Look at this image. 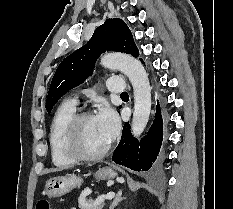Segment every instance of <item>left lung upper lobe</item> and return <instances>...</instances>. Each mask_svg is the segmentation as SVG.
Masks as SVG:
<instances>
[{"mask_svg":"<svg viewBox=\"0 0 233 209\" xmlns=\"http://www.w3.org/2000/svg\"><path fill=\"white\" fill-rule=\"evenodd\" d=\"M117 51L139 56L131 31L121 19H107L99 26L89 42L67 56L58 66L46 100V110L51 112L64 93L83 83L92 73L97 58L106 51Z\"/></svg>","mask_w":233,"mask_h":209,"instance_id":"left-lung-upper-lobe-1","label":"left lung upper lobe"}]
</instances>
